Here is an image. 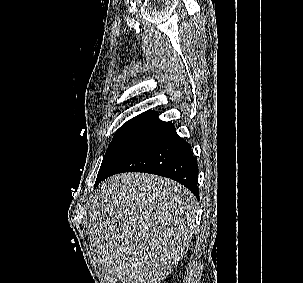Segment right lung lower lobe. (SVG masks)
<instances>
[{
	"label": "right lung lower lobe",
	"instance_id": "obj_1",
	"mask_svg": "<svg viewBox=\"0 0 303 283\" xmlns=\"http://www.w3.org/2000/svg\"><path fill=\"white\" fill-rule=\"evenodd\" d=\"M121 172H145L173 179L197 198L198 165L191 146L177 135L170 122L156 119L123 153L111 169L96 179V187L107 177Z\"/></svg>",
	"mask_w": 303,
	"mask_h": 283
}]
</instances>
